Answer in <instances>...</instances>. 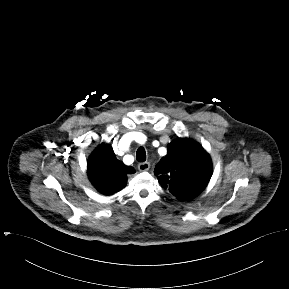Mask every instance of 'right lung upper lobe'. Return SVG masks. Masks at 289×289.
Listing matches in <instances>:
<instances>
[{"mask_svg": "<svg viewBox=\"0 0 289 289\" xmlns=\"http://www.w3.org/2000/svg\"><path fill=\"white\" fill-rule=\"evenodd\" d=\"M88 176L92 184L102 194L110 195L125 187L127 174L134 173L119 161L109 144H101L89 157Z\"/></svg>", "mask_w": 289, "mask_h": 289, "instance_id": "1", "label": "right lung upper lobe"}]
</instances>
